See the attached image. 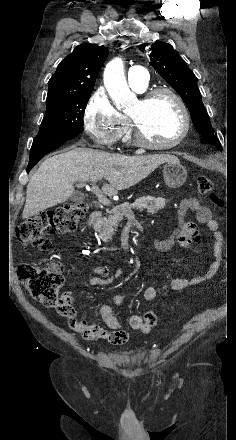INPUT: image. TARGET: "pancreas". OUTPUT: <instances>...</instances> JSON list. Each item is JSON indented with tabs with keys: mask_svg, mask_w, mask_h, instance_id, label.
<instances>
[{
	"mask_svg": "<svg viewBox=\"0 0 236 440\" xmlns=\"http://www.w3.org/2000/svg\"><path fill=\"white\" fill-rule=\"evenodd\" d=\"M166 202L167 200L162 197L146 196L136 199L132 204L119 205L112 209L108 217L101 219L95 230L99 232L102 241L108 242L112 239L123 217L134 219L132 209H139L140 211L146 209L148 213L155 214L165 207Z\"/></svg>",
	"mask_w": 236,
	"mask_h": 440,
	"instance_id": "obj_1",
	"label": "pancreas"
}]
</instances>
